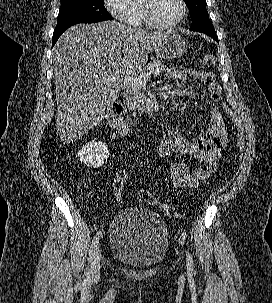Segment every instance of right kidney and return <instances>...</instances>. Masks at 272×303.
<instances>
[{
    "label": "right kidney",
    "mask_w": 272,
    "mask_h": 303,
    "mask_svg": "<svg viewBox=\"0 0 272 303\" xmlns=\"http://www.w3.org/2000/svg\"><path fill=\"white\" fill-rule=\"evenodd\" d=\"M78 156L86 166L99 168L107 161L109 149L105 143L93 140L79 150Z\"/></svg>",
    "instance_id": "obj_1"
}]
</instances>
